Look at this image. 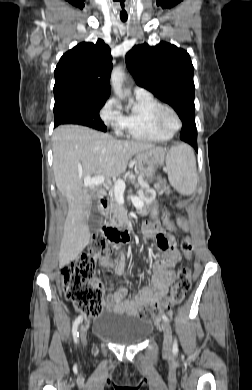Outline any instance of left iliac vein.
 <instances>
[{"label": "left iliac vein", "mask_w": 252, "mask_h": 390, "mask_svg": "<svg viewBox=\"0 0 252 390\" xmlns=\"http://www.w3.org/2000/svg\"><path fill=\"white\" fill-rule=\"evenodd\" d=\"M161 329L164 335L163 350L166 353H169L172 350V342H173L172 329L170 324L167 321H163L161 323Z\"/></svg>", "instance_id": "obj_1"}]
</instances>
